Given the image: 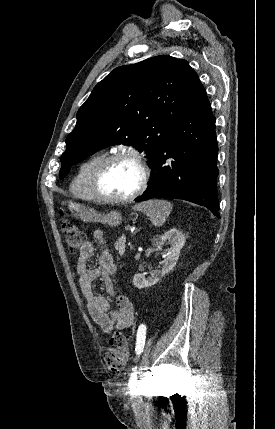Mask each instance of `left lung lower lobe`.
<instances>
[{
    "label": "left lung lower lobe",
    "instance_id": "left-lung-lower-lobe-1",
    "mask_svg": "<svg viewBox=\"0 0 275 429\" xmlns=\"http://www.w3.org/2000/svg\"><path fill=\"white\" fill-rule=\"evenodd\" d=\"M217 155L215 117L199 80L189 105L149 165L151 180L136 202L151 198L183 199L205 206L220 217Z\"/></svg>",
    "mask_w": 275,
    "mask_h": 429
}]
</instances>
